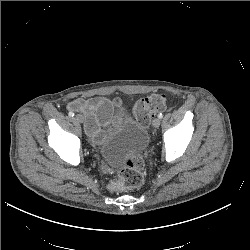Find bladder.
Segmentation results:
<instances>
[{
    "label": "bladder",
    "mask_w": 250,
    "mask_h": 250,
    "mask_svg": "<svg viewBox=\"0 0 250 250\" xmlns=\"http://www.w3.org/2000/svg\"><path fill=\"white\" fill-rule=\"evenodd\" d=\"M112 123L114 127L99 148V153L106 162L112 165L123 164L132 155L147 148V130L125 108L117 112Z\"/></svg>",
    "instance_id": "31cf9c89"
}]
</instances>
